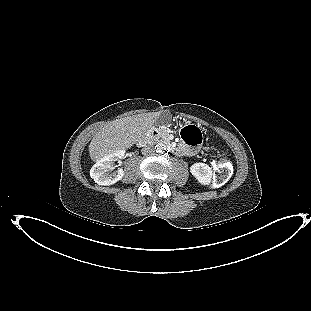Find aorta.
<instances>
[{
    "mask_svg": "<svg viewBox=\"0 0 311 311\" xmlns=\"http://www.w3.org/2000/svg\"><path fill=\"white\" fill-rule=\"evenodd\" d=\"M166 145L164 143H158L156 146H155V150L157 153H164L165 150H166Z\"/></svg>",
    "mask_w": 311,
    "mask_h": 311,
    "instance_id": "1",
    "label": "aorta"
}]
</instances>
